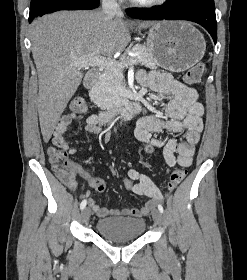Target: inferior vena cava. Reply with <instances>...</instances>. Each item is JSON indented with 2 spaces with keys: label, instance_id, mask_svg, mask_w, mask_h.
<instances>
[{
  "label": "inferior vena cava",
  "instance_id": "inferior-vena-cava-1",
  "mask_svg": "<svg viewBox=\"0 0 247 280\" xmlns=\"http://www.w3.org/2000/svg\"><path fill=\"white\" fill-rule=\"evenodd\" d=\"M102 10L103 13L108 16L122 15L117 0H102Z\"/></svg>",
  "mask_w": 247,
  "mask_h": 280
}]
</instances>
